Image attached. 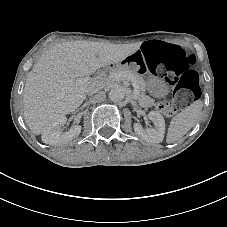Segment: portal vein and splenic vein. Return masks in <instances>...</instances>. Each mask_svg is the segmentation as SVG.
<instances>
[{"mask_svg":"<svg viewBox=\"0 0 227 227\" xmlns=\"http://www.w3.org/2000/svg\"><path fill=\"white\" fill-rule=\"evenodd\" d=\"M114 78L118 79V80H128L132 82L133 88H134V99H137V96L139 94V86L135 80V77L127 72H119V73H115L112 75Z\"/></svg>","mask_w":227,"mask_h":227,"instance_id":"18ae733b","label":"portal vein and splenic vein"}]
</instances>
